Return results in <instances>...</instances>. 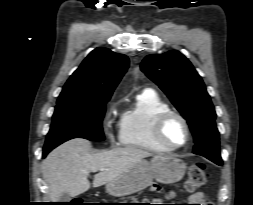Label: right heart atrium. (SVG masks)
Masks as SVG:
<instances>
[{"mask_svg": "<svg viewBox=\"0 0 253 205\" xmlns=\"http://www.w3.org/2000/svg\"><path fill=\"white\" fill-rule=\"evenodd\" d=\"M107 117H108V115H107ZM106 117V118H107ZM105 133L107 134V136L110 138V139H112L113 138V133H112V131L110 130V128H109V126H108V124L106 123L105 124Z\"/></svg>", "mask_w": 253, "mask_h": 205, "instance_id": "d8ad5b80", "label": "right heart atrium"}]
</instances>
